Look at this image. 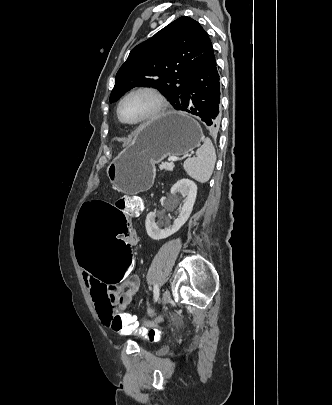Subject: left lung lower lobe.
<instances>
[{
	"instance_id": "obj_1",
	"label": "left lung lower lobe",
	"mask_w": 332,
	"mask_h": 405,
	"mask_svg": "<svg viewBox=\"0 0 332 405\" xmlns=\"http://www.w3.org/2000/svg\"><path fill=\"white\" fill-rule=\"evenodd\" d=\"M175 109L198 116L213 132L219 129L221 121L220 77L213 49L193 73L187 93L181 98Z\"/></svg>"
}]
</instances>
